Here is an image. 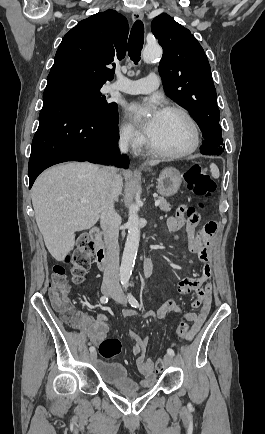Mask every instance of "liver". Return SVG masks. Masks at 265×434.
<instances>
[{
    "label": "liver",
    "instance_id": "obj_1",
    "mask_svg": "<svg viewBox=\"0 0 265 434\" xmlns=\"http://www.w3.org/2000/svg\"><path fill=\"white\" fill-rule=\"evenodd\" d=\"M156 166L159 162H148ZM99 166L94 164H62L50 168L37 178L31 198L36 224L45 246L57 262H63L75 246V232L90 230L100 218L103 194L97 188ZM123 178L115 174L110 190V204L122 192ZM85 198V204H81Z\"/></svg>",
    "mask_w": 265,
    "mask_h": 434
}]
</instances>
